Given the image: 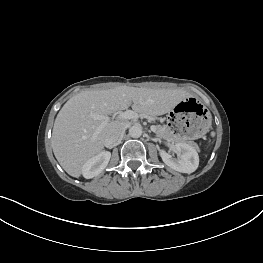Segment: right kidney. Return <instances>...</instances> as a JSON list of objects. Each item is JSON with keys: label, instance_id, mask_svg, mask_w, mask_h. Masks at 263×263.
<instances>
[{"label": "right kidney", "instance_id": "right-kidney-1", "mask_svg": "<svg viewBox=\"0 0 263 263\" xmlns=\"http://www.w3.org/2000/svg\"><path fill=\"white\" fill-rule=\"evenodd\" d=\"M111 157L109 151H102L90 158L82 167V175L86 179L98 176L108 165Z\"/></svg>", "mask_w": 263, "mask_h": 263}]
</instances>
